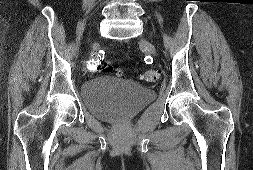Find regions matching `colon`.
Returning <instances> with one entry per match:
<instances>
[{"label": "colon", "instance_id": "colon-1", "mask_svg": "<svg viewBox=\"0 0 253 170\" xmlns=\"http://www.w3.org/2000/svg\"><path fill=\"white\" fill-rule=\"evenodd\" d=\"M104 70H106L107 72H114L118 75L122 74V70L115 68L113 66H105L103 67ZM159 78V73L157 70L154 69H149L147 71L144 72V74L142 75V79L145 80L146 82H156Z\"/></svg>", "mask_w": 253, "mask_h": 170}]
</instances>
